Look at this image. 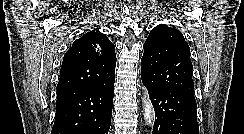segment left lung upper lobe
<instances>
[{"label":"left lung upper lobe","mask_w":244,"mask_h":134,"mask_svg":"<svg viewBox=\"0 0 244 134\" xmlns=\"http://www.w3.org/2000/svg\"><path fill=\"white\" fill-rule=\"evenodd\" d=\"M141 70L159 87L193 93L190 48L183 34L160 24L144 43Z\"/></svg>","instance_id":"1"}]
</instances>
